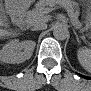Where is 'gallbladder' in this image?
<instances>
[{
  "mask_svg": "<svg viewBox=\"0 0 91 91\" xmlns=\"http://www.w3.org/2000/svg\"><path fill=\"white\" fill-rule=\"evenodd\" d=\"M5 19H6L7 23H8V18H5Z\"/></svg>",
  "mask_w": 91,
  "mask_h": 91,
  "instance_id": "gallbladder-1",
  "label": "gallbladder"
}]
</instances>
